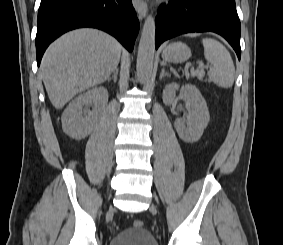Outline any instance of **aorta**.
<instances>
[{
  "instance_id": "762f6f07",
  "label": "aorta",
  "mask_w": 283,
  "mask_h": 245,
  "mask_svg": "<svg viewBox=\"0 0 283 245\" xmlns=\"http://www.w3.org/2000/svg\"><path fill=\"white\" fill-rule=\"evenodd\" d=\"M155 20L150 14L143 25L137 56V77L145 82L151 77L155 53Z\"/></svg>"
}]
</instances>
